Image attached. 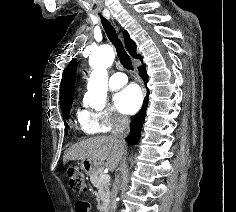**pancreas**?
I'll return each mask as SVG.
<instances>
[{
    "label": "pancreas",
    "mask_w": 236,
    "mask_h": 212,
    "mask_svg": "<svg viewBox=\"0 0 236 212\" xmlns=\"http://www.w3.org/2000/svg\"><path fill=\"white\" fill-rule=\"evenodd\" d=\"M102 171H96L95 173L90 175V181L93 184L94 187L97 188V201L98 206L97 208L100 211H106L109 205V180H103L102 177Z\"/></svg>",
    "instance_id": "obj_1"
}]
</instances>
